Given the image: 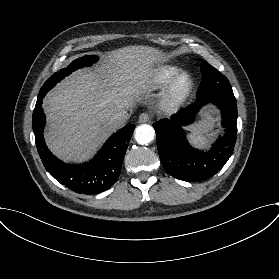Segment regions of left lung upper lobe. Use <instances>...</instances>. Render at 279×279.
I'll return each mask as SVG.
<instances>
[{"label": "left lung upper lobe", "mask_w": 279, "mask_h": 279, "mask_svg": "<svg viewBox=\"0 0 279 279\" xmlns=\"http://www.w3.org/2000/svg\"><path fill=\"white\" fill-rule=\"evenodd\" d=\"M201 74L203 79L197 91V100L210 97L236 100L228 79L205 60L201 63Z\"/></svg>", "instance_id": "1"}]
</instances>
